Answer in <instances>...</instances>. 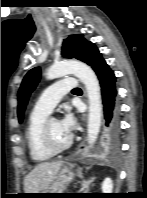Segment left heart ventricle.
Returning a JSON list of instances; mask_svg holds the SVG:
<instances>
[{"mask_svg": "<svg viewBox=\"0 0 147 198\" xmlns=\"http://www.w3.org/2000/svg\"><path fill=\"white\" fill-rule=\"evenodd\" d=\"M48 127L51 139L56 146H62L67 143L69 136L62 130L59 121H49Z\"/></svg>", "mask_w": 147, "mask_h": 198, "instance_id": "b2bd125f", "label": "left heart ventricle"}]
</instances>
